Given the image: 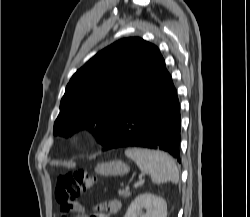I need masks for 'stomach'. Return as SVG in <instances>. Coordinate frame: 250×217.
<instances>
[{
    "label": "stomach",
    "instance_id": "0dacf381",
    "mask_svg": "<svg viewBox=\"0 0 250 217\" xmlns=\"http://www.w3.org/2000/svg\"><path fill=\"white\" fill-rule=\"evenodd\" d=\"M130 168L122 161H111L98 164L95 168L97 174L102 176H121L129 172Z\"/></svg>",
    "mask_w": 250,
    "mask_h": 217
}]
</instances>
